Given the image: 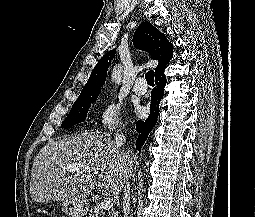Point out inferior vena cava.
<instances>
[{"mask_svg": "<svg viewBox=\"0 0 255 217\" xmlns=\"http://www.w3.org/2000/svg\"><path fill=\"white\" fill-rule=\"evenodd\" d=\"M125 136L123 134H116L114 138L115 142V147L117 151L120 153V161L122 164V172L124 173L125 177V183H124V191H123V212H124V217H127L130 213V182L128 181L129 179V172L126 169V154L120 150V148L123 146L125 142Z\"/></svg>", "mask_w": 255, "mask_h": 217, "instance_id": "obj_1", "label": "inferior vena cava"}]
</instances>
